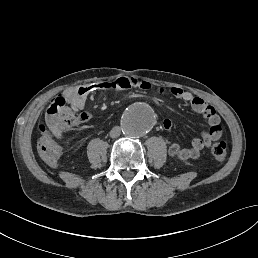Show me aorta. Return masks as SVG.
Returning a JSON list of instances; mask_svg holds the SVG:
<instances>
[{"instance_id": "aorta-1", "label": "aorta", "mask_w": 258, "mask_h": 258, "mask_svg": "<svg viewBox=\"0 0 258 258\" xmlns=\"http://www.w3.org/2000/svg\"><path fill=\"white\" fill-rule=\"evenodd\" d=\"M155 124L154 112L145 103L132 105L122 116L121 128L125 136L139 138Z\"/></svg>"}]
</instances>
